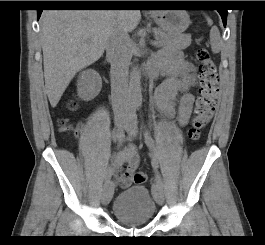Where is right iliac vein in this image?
I'll use <instances>...</instances> for the list:
<instances>
[{
	"instance_id": "63e3f726",
	"label": "right iliac vein",
	"mask_w": 265,
	"mask_h": 245,
	"mask_svg": "<svg viewBox=\"0 0 265 245\" xmlns=\"http://www.w3.org/2000/svg\"><path fill=\"white\" fill-rule=\"evenodd\" d=\"M115 124L117 127L123 128L125 126V120L124 118H117L115 120ZM114 193V184L112 181H107L103 187L102 192V202L104 204H108L113 196Z\"/></svg>"
}]
</instances>
